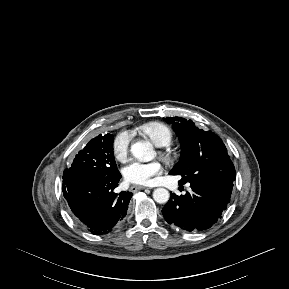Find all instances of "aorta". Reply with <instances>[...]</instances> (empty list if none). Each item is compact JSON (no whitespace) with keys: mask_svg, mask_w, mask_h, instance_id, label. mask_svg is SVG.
Wrapping results in <instances>:
<instances>
[{"mask_svg":"<svg viewBox=\"0 0 289 289\" xmlns=\"http://www.w3.org/2000/svg\"><path fill=\"white\" fill-rule=\"evenodd\" d=\"M131 153L134 157L144 161H150L154 156L153 146L150 142L138 141L131 146ZM170 194L165 188H157L153 192V199L160 204L169 200Z\"/></svg>","mask_w":289,"mask_h":289,"instance_id":"obj_1","label":"aorta"}]
</instances>
